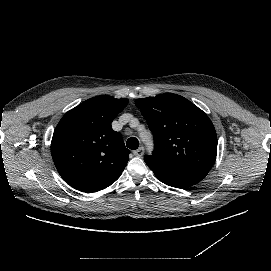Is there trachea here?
Returning <instances> with one entry per match:
<instances>
[{
  "mask_svg": "<svg viewBox=\"0 0 271 271\" xmlns=\"http://www.w3.org/2000/svg\"><path fill=\"white\" fill-rule=\"evenodd\" d=\"M126 146L129 148V149H132V150H135L139 147V141L137 138L135 137H131L128 139V141L126 142Z\"/></svg>",
  "mask_w": 271,
  "mask_h": 271,
  "instance_id": "obj_1",
  "label": "trachea"
}]
</instances>
